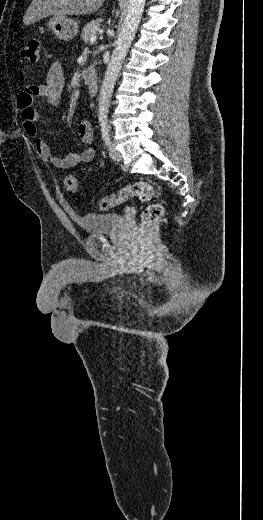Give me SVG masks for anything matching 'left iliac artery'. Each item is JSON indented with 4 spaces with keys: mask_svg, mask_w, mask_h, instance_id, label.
Here are the masks:
<instances>
[{
    "mask_svg": "<svg viewBox=\"0 0 263 520\" xmlns=\"http://www.w3.org/2000/svg\"><path fill=\"white\" fill-rule=\"evenodd\" d=\"M100 126H101L102 137H103L105 143L107 144L110 140L108 121L106 119H102L100 122Z\"/></svg>",
    "mask_w": 263,
    "mask_h": 520,
    "instance_id": "obj_1",
    "label": "left iliac artery"
}]
</instances>
